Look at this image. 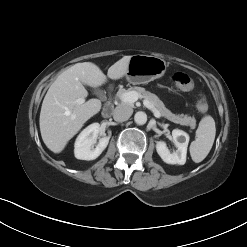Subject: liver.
Returning <instances> with one entry per match:
<instances>
[{
    "mask_svg": "<svg viewBox=\"0 0 247 247\" xmlns=\"http://www.w3.org/2000/svg\"><path fill=\"white\" fill-rule=\"evenodd\" d=\"M130 58L124 56L114 63L107 77L118 80L125 76ZM107 77L90 62L77 63L57 77L44 97L39 119L41 136L48 149L62 152L85 122L100 111L102 103L98 99L83 104H77L76 100L87 97L84 84L98 87L107 82Z\"/></svg>",
    "mask_w": 247,
    "mask_h": 247,
    "instance_id": "6515ba94",
    "label": "liver"
}]
</instances>
